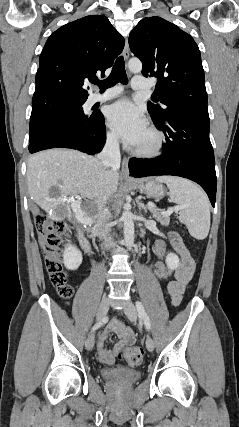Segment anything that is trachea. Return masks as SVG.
<instances>
[{
    "mask_svg": "<svg viewBox=\"0 0 239 427\" xmlns=\"http://www.w3.org/2000/svg\"><path fill=\"white\" fill-rule=\"evenodd\" d=\"M117 82H121L123 84L128 82L124 59L122 56L117 58L109 77L103 81H95L94 84L98 85L100 91L103 92L107 88L114 86Z\"/></svg>",
    "mask_w": 239,
    "mask_h": 427,
    "instance_id": "3493384b",
    "label": "trachea"
}]
</instances>
